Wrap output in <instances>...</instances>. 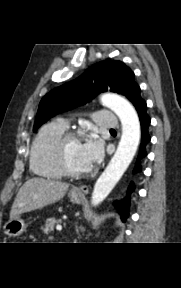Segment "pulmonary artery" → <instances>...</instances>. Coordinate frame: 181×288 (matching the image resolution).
<instances>
[{
  "label": "pulmonary artery",
  "mask_w": 181,
  "mask_h": 288,
  "mask_svg": "<svg viewBox=\"0 0 181 288\" xmlns=\"http://www.w3.org/2000/svg\"><path fill=\"white\" fill-rule=\"evenodd\" d=\"M95 123L101 127L106 129H114L118 127V119L116 115L110 111H97L94 114ZM65 127L68 126L66 122H61Z\"/></svg>",
  "instance_id": "pulmonary-artery-1"
}]
</instances>
